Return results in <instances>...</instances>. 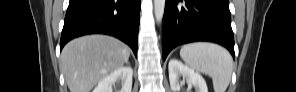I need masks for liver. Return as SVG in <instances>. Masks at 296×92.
Instances as JSON below:
<instances>
[{
	"label": "liver",
	"mask_w": 296,
	"mask_h": 92,
	"mask_svg": "<svg viewBox=\"0 0 296 92\" xmlns=\"http://www.w3.org/2000/svg\"><path fill=\"white\" fill-rule=\"evenodd\" d=\"M129 56L128 47L120 40L87 35L65 45L59 68L70 92H90L110 72L123 67Z\"/></svg>",
	"instance_id": "1"
}]
</instances>
